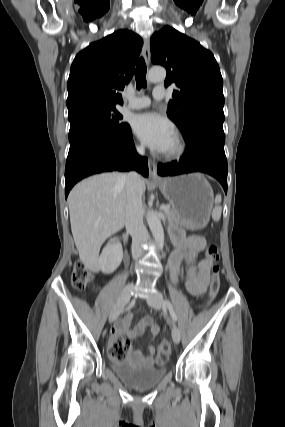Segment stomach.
<instances>
[{
    "label": "stomach",
    "instance_id": "0dacf381",
    "mask_svg": "<svg viewBox=\"0 0 285 427\" xmlns=\"http://www.w3.org/2000/svg\"><path fill=\"white\" fill-rule=\"evenodd\" d=\"M157 185L179 216L176 224L196 230L208 223L214 194L202 174L165 178Z\"/></svg>",
    "mask_w": 285,
    "mask_h": 427
}]
</instances>
